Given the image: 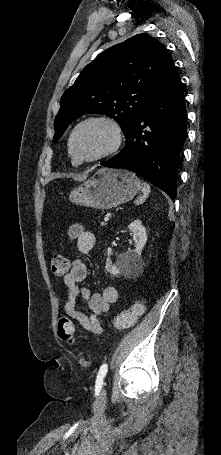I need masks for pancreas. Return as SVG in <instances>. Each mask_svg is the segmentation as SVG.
Segmentation results:
<instances>
[{"mask_svg":"<svg viewBox=\"0 0 221 455\" xmlns=\"http://www.w3.org/2000/svg\"><path fill=\"white\" fill-rule=\"evenodd\" d=\"M101 225H105V223H104V222H101Z\"/></svg>","mask_w":221,"mask_h":455,"instance_id":"obj_1","label":"pancreas"}]
</instances>
